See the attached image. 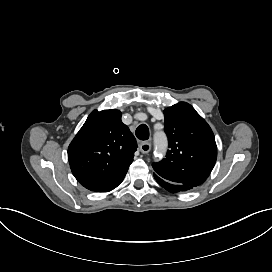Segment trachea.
Listing matches in <instances>:
<instances>
[{
  "mask_svg": "<svg viewBox=\"0 0 272 272\" xmlns=\"http://www.w3.org/2000/svg\"><path fill=\"white\" fill-rule=\"evenodd\" d=\"M135 134L140 140H147L149 138V129L145 124H141L136 129Z\"/></svg>",
  "mask_w": 272,
  "mask_h": 272,
  "instance_id": "1",
  "label": "trachea"
}]
</instances>
